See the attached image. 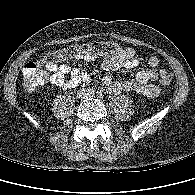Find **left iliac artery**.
<instances>
[{"instance_id":"obj_1","label":"left iliac artery","mask_w":195,"mask_h":195,"mask_svg":"<svg viewBox=\"0 0 195 195\" xmlns=\"http://www.w3.org/2000/svg\"><path fill=\"white\" fill-rule=\"evenodd\" d=\"M97 93H98L99 96H102V94H103L101 90L98 91Z\"/></svg>"}]
</instances>
